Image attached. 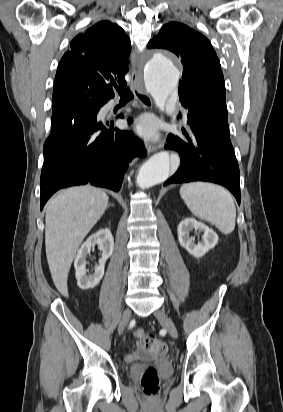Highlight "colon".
I'll return each mask as SVG.
<instances>
[{"label": "colon", "instance_id": "1", "mask_svg": "<svg viewBox=\"0 0 283 412\" xmlns=\"http://www.w3.org/2000/svg\"><path fill=\"white\" fill-rule=\"evenodd\" d=\"M140 346L155 356L163 355L167 351L166 344L150 334H142L140 336ZM141 386L147 398L154 399L157 396L159 392V377L154 367H149L145 371L141 378Z\"/></svg>", "mask_w": 283, "mask_h": 412}]
</instances>
